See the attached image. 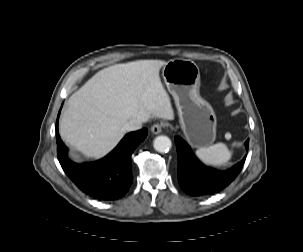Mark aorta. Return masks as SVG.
<instances>
[{
	"label": "aorta",
	"instance_id": "aorta-1",
	"mask_svg": "<svg viewBox=\"0 0 303 252\" xmlns=\"http://www.w3.org/2000/svg\"><path fill=\"white\" fill-rule=\"evenodd\" d=\"M172 143L169 137L160 135L154 139L153 147L158 152H168Z\"/></svg>",
	"mask_w": 303,
	"mask_h": 252
}]
</instances>
